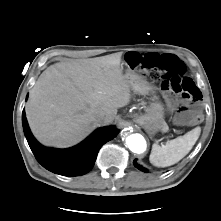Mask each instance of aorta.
Listing matches in <instances>:
<instances>
[{"mask_svg": "<svg viewBox=\"0 0 221 221\" xmlns=\"http://www.w3.org/2000/svg\"><path fill=\"white\" fill-rule=\"evenodd\" d=\"M126 144L132 152L137 154H141L146 150V141L144 137L138 133L127 134Z\"/></svg>", "mask_w": 221, "mask_h": 221, "instance_id": "aorta-1", "label": "aorta"}]
</instances>
